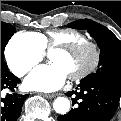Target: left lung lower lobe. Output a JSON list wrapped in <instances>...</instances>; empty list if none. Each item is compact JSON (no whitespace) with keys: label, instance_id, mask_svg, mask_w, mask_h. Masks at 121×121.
I'll return each mask as SVG.
<instances>
[{"label":"left lung lower lobe","instance_id":"obj_1","mask_svg":"<svg viewBox=\"0 0 121 121\" xmlns=\"http://www.w3.org/2000/svg\"><path fill=\"white\" fill-rule=\"evenodd\" d=\"M78 91L66 93L76 104L58 121H110L121 96V87L105 80L80 81Z\"/></svg>","mask_w":121,"mask_h":121}]
</instances>
